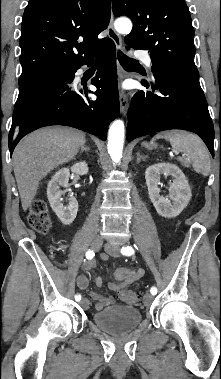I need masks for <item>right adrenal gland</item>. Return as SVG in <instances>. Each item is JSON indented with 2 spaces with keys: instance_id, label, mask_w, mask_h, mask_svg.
<instances>
[{
  "instance_id": "obj_1",
  "label": "right adrenal gland",
  "mask_w": 221,
  "mask_h": 379,
  "mask_svg": "<svg viewBox=\"0 0 221 379\" xmlns=\"http://www.w3.org/2000/svg\"><path fill=\"white\" fill-rule=\"evenodd\" d=\"M89 150H90L89 147H87V146H82V147H81V151H80V153H82V152H84V151L89 152Z\"/></svg>"
}]
</instances>
